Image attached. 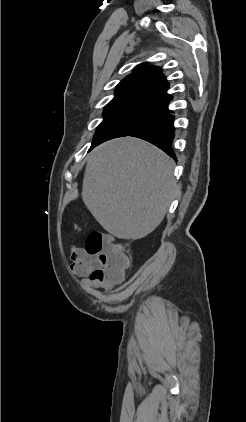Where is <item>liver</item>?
<instances>
[{
	"label": "liver",
	"instance_id": "1",
	"mask_svg": "<svg viewBox=\"0 0 246 422\" xmlns=\"http://www.w3.org/2000/svg\"><path fill=\"white\" fill-rule=\"evenodd\" d=\"M177 190L173 160L141 139H113L88 155L82 200L117 238L138 240L153 232Z\"/></svg>",
	"mask_w": 246,
	"mask_h": 422
}]
</instances>
